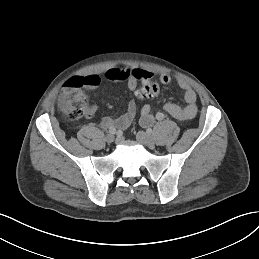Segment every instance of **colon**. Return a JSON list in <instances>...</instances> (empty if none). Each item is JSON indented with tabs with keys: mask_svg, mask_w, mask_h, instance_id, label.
I'll return each instance as SVG.
<instances>
[{
	"mask_svg": "<svg viewBox=\"0 0 259 259\" xmlns=\"http://www.w3.org/2000/svg\"><path fill=\"white\" fill-rule=\"evenodd\" d=\"M87 81L82 77H73L65 85L60 98V108L63 114L70 120H78L87 112V100L83 87ZM160 89L153 83L143 82L136 91L141 99L155 98L159 95Z\"/></svg>",
	"mask_w": 259,
	"mask_h": 259,
	"instance_id": "obj_1",
	"label": "colon"
}]
</instances>
